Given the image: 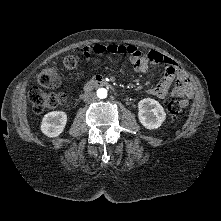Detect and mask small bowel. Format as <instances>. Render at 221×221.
Instances as JSON below:
<instances>
[{"instance_id":"c3829d8e","label":"small bowel","mask_w":221,"mask_h":221,"mask_svg":"<svg viewBox=\"0 0 221 221\" xmlns=\"http://www.w3.org/2000/svg\"><path fill=\"white\" fill-rule=\"evenodd\" d=\"M118 54L128 57L133 69L139 73H148L157 65L165 66L161 81L147 92L158 99L166 100L169 96L189 99L193 95L191 83L182 68L170 57L157 51L142 53L136 46L130 44H90L82 48V55L90 58L93 54ZM173 87L171 88V86Z\"/></svg>"}]
</instances>
